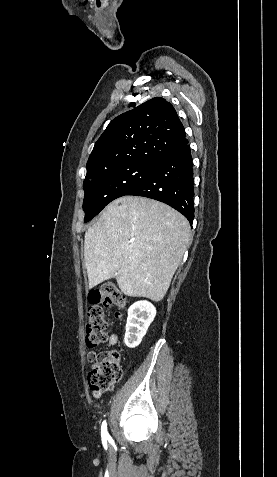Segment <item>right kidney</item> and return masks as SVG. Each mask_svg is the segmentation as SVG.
Instances as JSON below:
<instances>
[{"instance_id":"obj_1","label":"right kidney","mask_w":277,"mask_h":477,"mask_svg":"<svg viewBox=\"0 0 277 477\" xmlns=\"http://www.w3.org/2000/svg\"><path fill=\"white\" fill-rule=\"evenodd\" d=\"M156 316L155 307L148 301H138L128 309L124 341L127 347H137Z\"/></svg>"}]
</instances>
